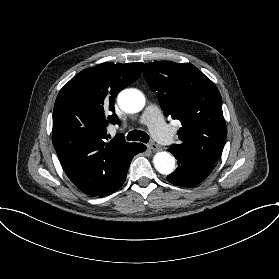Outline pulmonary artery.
<instances>
[{
	"label": "pulmonary artery",
	"instance_id": "obj_1",
	"mask_svg": "<svg viewBox=\"0 0 279 279\" xmlns=\"http://www.w3.org/2000/svg\"><path fill=\"white\" fill-rule=\"evenodd\" d=\"M167 114L164 110L158 109L156 104H150L142 116V122H147L153 129L152 137L161 146H166L172 141L174 127L166 125Z\"/></svg>",
	"mask_w": 279,
	"mask_h": 279
}]
</instances>
